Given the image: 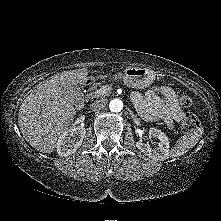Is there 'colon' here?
<instances>
[{
    "label": "colon",
    "instance_id": "5ec220e1",
    "mask_svg": "<svg viewBox=\"0 0 221 221\" xmlns=\"http://www.w3.org/2000/svg\"><path fill=\"white\" fill-rule=\"evenodd\" d=\"M178 100L181 106H183L184 108H190L193 106L192 98L186 93H181ZM182 125L184 129L192 130L199 126V120L196 115L192 113H187L182 119Z\"/></svg>",
    "mask_w": 221,
    "mask_h": 221
}]
</instances>
